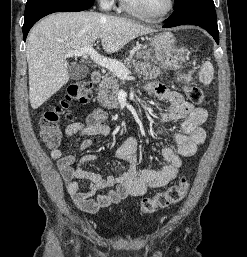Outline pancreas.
<instances>
[{"label": "pancreas", "instance_id": "pancreas-1", "mask_svg": "<svg viewBox=\"0 0 247 257\" xmlns=\"http://www.w3.org/2000/svg\"><path fill=\"white\" fill-rule=\"evenodd\" d=\"M124 66L133 68L139 77L144 80H152L161 74V69L148 61H137L136 59L126 60ZM119 91V80L113 72H108L103 78L98 88V101L103 107L108 109L118 107L117 94Z\"/></svg>", "mask_w": 247, "mask_h": 257}]
</instances>
